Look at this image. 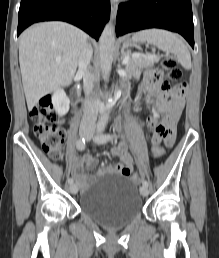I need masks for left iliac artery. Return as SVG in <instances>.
Masks as SVG:
<instances>
[{
  "label": "left iliac artery",
  "mask_w": 219,
  "mask_h": 258,
  "mask_svg": "<svg viewBox=\"0 0 219 258\" xmlns=\"http://www.w3.org/2000/svg\"><path fill=\"white\" fill-rule=\"evenodd\" d=\"M103 131H104L103 126L98 128L97 135L94 137L95 143L104 144V143H106L107 141L111 140L114 137L113 135L104 134ZM142 184L144 186H147V187L149 186V183H148L147 180H143Z\"/></svg>",
  "instance_id": "obj_1"
}]
</instances>
